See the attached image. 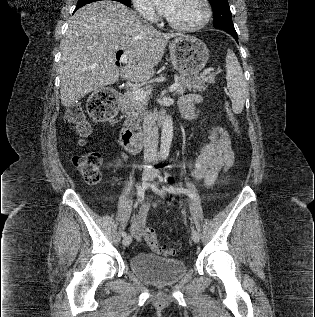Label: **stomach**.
Segmentation results:
<instances>
[{"mask_svg": "<svg viewBox=\"0 0 315 317\" xmlns=\"http://www.w3.org/2000/svg\"><path fill=\"white\" fill-rule=\"evenodd\" d=\"M169 49L172 65L182 77L197 75L209 59L205 43L190 35L175 38Z\"/></svg>", "mask_w": 315, "mask_h": 317, "instance_id": "0dacf381", "label": "stomach"}]
</instances>
